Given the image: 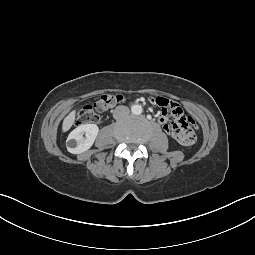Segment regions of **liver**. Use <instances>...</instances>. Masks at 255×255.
I'll return each instance as SVG.
<instances>
[{"label": "liver", "mask_w": 255, "mask_h": 255, "mask_svg": "<svg viewBox=\"0 0 255 255\" xmlns=\"http://www.w3.org/2000/svg\"><path fill=\"white\" fill-rule=\"evenodd\" d=\"M75 115H76V111L73 110L71 111L63 120V124H62V131L66 132L68 131L71 126L73 125L74 121H75Z\"/></svg>", "instance_id": "6515ba94"}]
</instances>
